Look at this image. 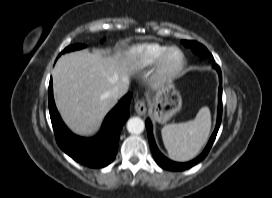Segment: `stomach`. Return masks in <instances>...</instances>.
<instances>
[{"label": "stomach", "mask_w": 272, "mask_h": 198, "mask_svg": "<svg viewBox=\"0 0 272 198\" xmlns=\"http://www.w3.org/2000/svg\"><path fill=\"white\" fill-rule=\"evenodd\" d=\"M182 108V97L174 86L161 88L152 105V117L158 123H165Z\"/></svg>", "instance_id": "1"}]
</instances>
